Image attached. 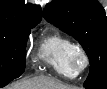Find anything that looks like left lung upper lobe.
Instances as JSON below:
<instances>
[{
  "label": "left lung upper lobe",
  "instance_id": "1",
  "mask_svg": "<svg viewBox=\"0 0 107 89\" xmlns=\"http://www.w3.org/2000/svg\"><path fill=\"white\" fill-rule=\"evenodd\" d=\"M44 18L73 36L90 60L84 87L107 80V17L96 0H53L43 11Z\"/></svg>",
  "mask_w": 107,
  "mask_h": 89
}]
</instances>
